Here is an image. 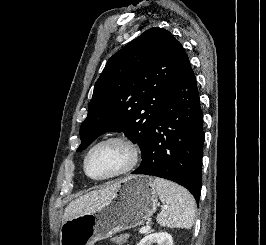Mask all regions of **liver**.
Here are the masks:
<instances>
[{
	"instance_id": "1",
	"label": "liver",
	"mask_w": 266,
	"mask_h": 245,
	"mask_svg": "<svg viewBox=\"0 0 266 245\" xmlns=\"http://www.w3.org/2000/svg\"><path fill=\"white\" fill-rule=\"evenodd\" d=\"M120 187L121 181L119 183H113V185H108L104 189H96V191H91V193H86V195H82L79 199L71 201L65 209L62 219L63 223L68 221V219H73V217H79V215L95 213L97 209H100L106 203H110L112 197H114Z\"/></svg>"
}]
</instances>
